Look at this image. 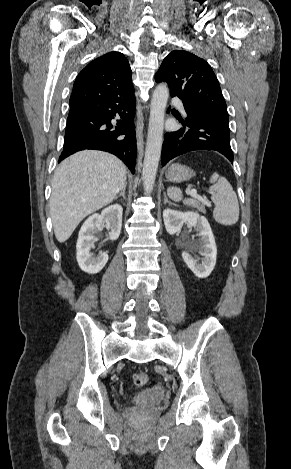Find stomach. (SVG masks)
Wrapping results in <instances>:
<instances>
[{
  "mask_svg": "<svg viewBox=\"0 0 291 469\" xmlns=\"http://www.w3.org/2000/svg\"><path fill=\"white\" fill-rule=\"evenodd\" d=\"M193 176V171L183 164H172L166 170V178L175 183L189 180Z\"/></svg>",
  "mask_w": 291,
  "mask_h": 469,
  "instance_id": "1",
  "label": "stomach"
}]
</instances>
